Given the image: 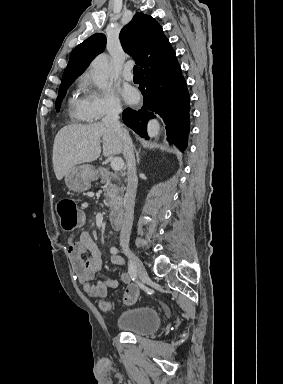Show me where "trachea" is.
<instances>
[{"label": "trachea", "mask_w": 283, "mask_h": 384, "mask_svg": "<svg viewBox=\"0 0 283 384\" xmlns=\"http://www.w3.org/2000/svg\"><path fill=\"white\" fill-rule=\"evenodd\" d=\"M138 70H139L138 65H135L133 68V73L138 74Z\"/></svg>", "instance_id": "1"}]
</instances>
